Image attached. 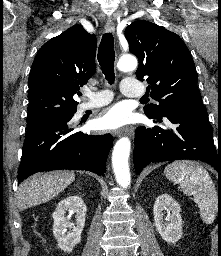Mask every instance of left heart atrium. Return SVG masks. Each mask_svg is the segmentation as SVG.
<instances>
[{
    "instance_id": "1",
    "label": "left heart atrium",
    "mask_w": 221,
    "mask_h": 256,
    "mask_svg": "<svg viewBox=\"0 0 221 256\" xmlns=\"http://www.w3.org/2000/svg\"><path fill=\"white\" fill-rule=\"evenodd\" d=\"M128 113L121 107L115 106L109 109L97 120V127L100 129H116L128 122Z\"/></svg>"
}]
</instances>
